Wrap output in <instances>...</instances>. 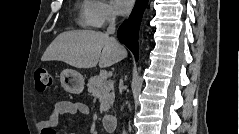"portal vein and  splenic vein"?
I'll use <instances>...</instances> for the list:
<instances>
[{
  "label": "portal vein and splenic vein",
  "mask_w": 239,
  "mask_h": 134,
  "mask_svg": "<svg viewBox=\"0 0 239 134\" xmlns=\"http://www.w3.org/2000/svg\"><path fill=\"white\" fill-rule=\"evenodd\" d=\"M108 77L107 71H100V78L101 80H106Z\"/></svg>",
  "instance_id": "obj_1"
}]
</instances>
